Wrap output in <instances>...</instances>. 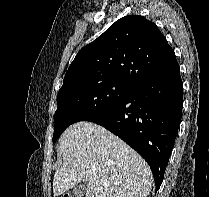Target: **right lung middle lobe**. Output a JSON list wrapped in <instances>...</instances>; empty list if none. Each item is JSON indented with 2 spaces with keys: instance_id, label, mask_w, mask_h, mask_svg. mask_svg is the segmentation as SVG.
Masks as SVG:
<instances>
[{
  "instance_id": "1",
  "label": "right lung middle lobe",
  "mask_w": 209,
  "mask_h": 197,
  "mask_svg": "<svg viewBox=\"0 0 209 197\" xmlns=\"http://www.w3.org/2000/svg\"><path fill=\"white\" fill-rule=\"evenodd\" d=\"M133 88L115 80L80 82L62 87L58 92V108L54 115L53 142L68 126L122 100Z\"/></svg>"
}]
</instances>
